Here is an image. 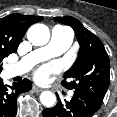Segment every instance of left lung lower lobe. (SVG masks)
<instances>
[{
	"mask_svg": "<svg viewBox=\"0 0 117 117\" xmlns=\"http://www.w3.org/2000/svg\"><path fill=\"white\" fill-rule=\"evenodd\" d=\"M99 108L86 96L74 93L69 102L58 99L56 106L44 109L43 117H91Z\"/></svg>",
	"mask_w": 117,
	"mask_h": 117,
	"instance_id": "0a47b994",
	"label": "left lung lower lobe"
}]
</instances>
